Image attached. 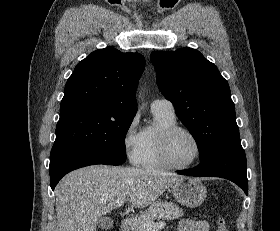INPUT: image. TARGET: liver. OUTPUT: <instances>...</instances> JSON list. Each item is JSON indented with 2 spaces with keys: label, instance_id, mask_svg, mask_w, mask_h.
I'll return each mask as SVG.
<instances>
[{
  "label": "liver",
  "instance_id": "1",
  "mask_svg": "<svg viewBox=\"0 0 280 231\" xmlns=\"http://www.w3.org/2000/svg\"><path fill=\"white\" fill-rule=\"evenodd\" d=\"M180 175L140 167L88 165L61 179L56 191L55 231H96L100 215L120 207L123 199L133 207L154 203Z\"/></svg>",
  "mask_w": 280,
  "mask_h": 231
}]
</instances>
